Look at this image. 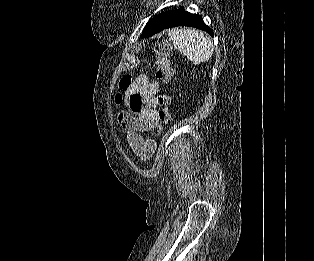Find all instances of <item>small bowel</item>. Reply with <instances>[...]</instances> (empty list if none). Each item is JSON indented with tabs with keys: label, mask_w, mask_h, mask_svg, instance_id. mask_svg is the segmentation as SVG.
Listing matches in <instances>:
<instances>
[{
	"label": "small bowel",
	"mask_w": 314,
	"mask_h": 261,
	"mask_svg": "<svg viewBox=\"0 0 314 261\" xmlns=\"http://www.w3.org/2000/svg\"><path fill=\"white\" fill-rule=\"evenodd\" d=\"M160 84L151 81L145 74L138 75L123 96L125 109L118 114V123L127 133V142L133 152L142 160H148L154 153L155 142L143 138L151 129H160L157 113V95Z\"/></svg>",
	"instance_id": "1"
}]
</instances>
